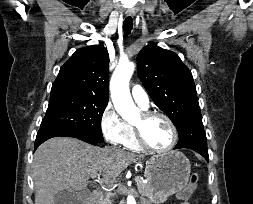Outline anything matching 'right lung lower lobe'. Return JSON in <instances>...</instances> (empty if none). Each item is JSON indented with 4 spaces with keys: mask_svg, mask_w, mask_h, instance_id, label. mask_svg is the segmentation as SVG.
<instances>
[{
    "mask_svg": "<svg viewBox=\"0 0 253 204\" xmlns=\"http://www.w3.org/2000/svg\"><path fill=\"white\" fill-rule=\"evenodd\" d=\"M52 137H74L78 138L82 141L90 143L92 145H96L99 142H96L90 138H87L83 135L74 132H68L60 129H51V128H40L39 132L37 133V137L35 140V149L44 141L52 138Z\"/></svg>",
    "mask_w": 253,
    "mask_h": 204,
    "instance_id": "98d812e1",
    "label": "right lung lower lobe"
}]
</instances>
